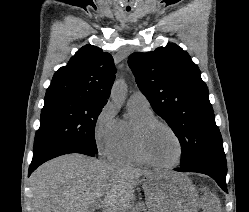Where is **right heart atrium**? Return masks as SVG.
<instances>
[{
    "label": "right heart atrium",
    "instance_id": "d8ad5b80",
    "mask_svg": "<svg viewBox=\"0 0 249 212\" xmlns=\"http://www.w3.org/2000/svg\"><path fill=\"white\" fill-rule=\"evenodd\" d=\"M117 123L116 112L112 102H106L93 123V137L97 148L101 153L108 156L116 139L115 126Z\"/></svg>",
    "mask_w": 249,
    "mask_h": 212
}]
</instances>
